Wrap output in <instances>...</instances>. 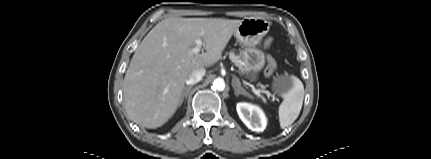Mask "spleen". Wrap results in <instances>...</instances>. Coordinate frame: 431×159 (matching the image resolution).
I'll use <instances>...</instances> for the list:
<instances>
[{"label":"spleen","mask_w":431,"mask_h":159,"mask_svg":"<svg viewBox=\"0 0 431 159\" xmlns=\"http://www.w3.org/2000/svg\"><path fill=\"white\" fill-rule=\"evenodd\" d=\"M294 87L285 96L283 102L279 106V122L281 128L290 126L299 116L303 99L304 86L297 77L293 76Z\"/></svg>","instance_id":"1"}]
</instances>
